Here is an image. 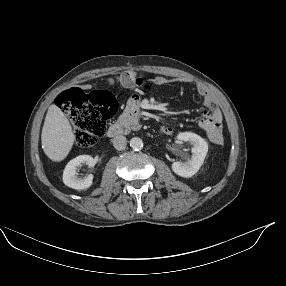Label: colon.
Here are the masks:
<instances>
[{"instance_id": "colon-1", "label": "colon", "mask_w": 286, "mask_h": 286, "mask_svg": "<svg viewBox=\"0 0 286 286\" xmlns=\"http://www.w3.org/2000/svg\"><path fill=\"white\" fill-rule=\"evenodd\" d=\"M58 107L71 119L74 141L80 148H90L105 133L108 121L117 111V101L107 92L85 93L77 88L65 90L56 99ZM204 139L211 144H222L223 128L216 123L208 124L203 131Z\"/></svg>"}]
</instances>
